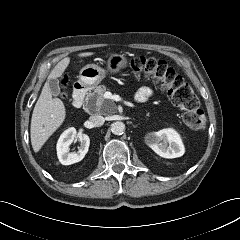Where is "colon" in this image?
<instances>
[{
    "mask_svg": "<svg viewBox=\"0 0 240 240\" xmlns=\"http://www.w3.org/2000/svg\"><path fill=\"white\" fill-rule=\"evenodd\" d=\"M129 66L136 76L155 82L170 97L172 103L183 110L182 117L187 127L194 131H201L205 128L207 119L199 108L196 94L167 62L138 56L130 61ZM66 97V92L63 91L62 98L66 99Z\"/></svg>",
    "mask_w": 240,
    "mask_h": 240,
    "instance_id": "5ec220e1",
    "label": "colon"
}]
</instances>
